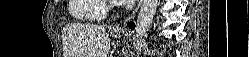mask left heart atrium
Listing matches in <instances>:
<instances>
[{
	"label": "left heart atrium",
	"mask_w": 249,
	"mask_h": 57,
	"mask_svg": "<svg viewBox=\"0 0 249 57\" xmlns=\"http://www.w3.org/2000/svg\"><path fill=\"white\" fill-rule=\"evenodd\" d=\"M133 0H116V3L123 5V4H128V3H132Z\"/></svg>",
	"instance_id": "39dd6f15"
}]
</instances>
